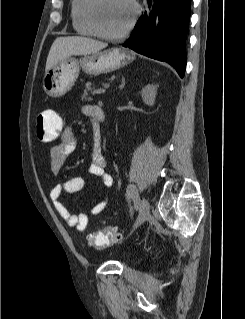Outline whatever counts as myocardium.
I'll return each mask as SVG.
<instances>
[{"mask_svg":"<svg viewBox=\"0 0 245 319\" xmlns=\"http://www.w3.org/2000/svg\"><path fill=\"white\" fill-rule=\"evenodd\" d=\"M102 2V0H90L88 6H87V15H88V19L89 22L91 24V26L93 27L95 33L97 36L104 38V39H109V40H118L121 39L123 37H125L127 34L130 33V31L134 28L137 19L139 17L140 14V6L137 3L136 0H128V2L132 5L133 7V16L130 20V22L128 23V25L121 30L120 32L117 33H110L105 31L100 22H99V18H98V11H99V7H100V3Z\"/></svg>","mask_w":245,"mask_h":319,"instance_id":"obj_1","label":"myocardium"}]
</instances>
